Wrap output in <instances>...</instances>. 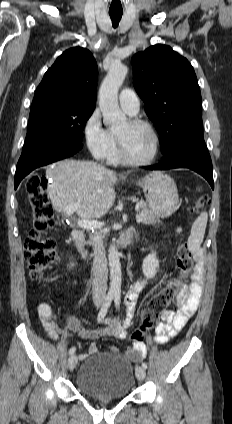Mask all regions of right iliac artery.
<instances>
[{
	"label": "right iliac artery",
	"mask_w": 232,
	"mask_h": 424,
	"mask_svg": "<svg viewBox=\"0 0 232 424\" xmlns=\"http://www.w3.org/2000/svg\"><path fill=\"white\" fill-rule=\"evenodd\" d=\"M113 298H114V294L113 293H108L107 294V296H106V298L104 300V303H103V305H102V307H101V309H100V311L98 313V316H97L98 323L102 322V320L104 319V317H105V315H106V313L108 311V308L111 305V302H112ZM75 350H76L75 347L70 348L69 354L72 355L75 352Z\"/></svg>",
	"instance_id": "1"
}]
</instances>
